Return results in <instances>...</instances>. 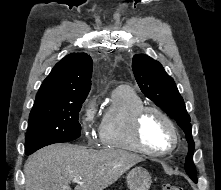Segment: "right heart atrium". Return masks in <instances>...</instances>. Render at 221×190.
Segmentation results:
<instances>
[{"mask_svg":"<svg viewBox=\"0 0 221 190\" xmlns=\"http://www.w3.org/2000/svg\"><path fill=\"white\" fill-rule=\"evenodd\" d=\"M81 127L86 135L97 128L96 104L93 99H87L83 103L81 111Z\"/></svg>","mask_w":221,"mask_h":190,"instance_id":"1","label":"right heart atrium"}]
</instances>
